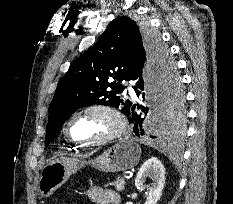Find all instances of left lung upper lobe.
Returning a JSON list of instances; mask_svg holds the SVG:
<instances>
[{"label": "left lung upper lobe", "instance_id": "5c2ea615", "mask_svg": "<svg viewBox=\"0 0 233 204\" xmlns=\"http://www.w3.org/2000/svg\"><path fill=\"white\" fill-rule=\"evenodd\" d=\"M139 55L157 75L167 125L181 129L185 115L184 97L168 49L146 25L122 16L109 23L99 41L79 57L60 79L49 106L45 146L80 107L109 105L125 114L132 102L120 98L118 94L125 89L121 82L130 80Z\"/></svg>", "mask_w": 233, "mask_h": 204}]
</instances>
